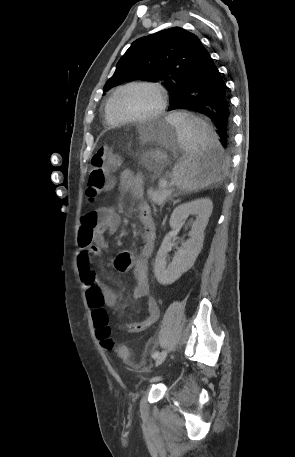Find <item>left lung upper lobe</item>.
Returning <instances> with one entry per match:
<instances>
[{
	"instance_id": "1",
	"label": "left lung upper lobe",
	"mask_w": 295,
	"mask_h": 457,
	"mask_svg": "<svg viewBox=\"0 0 295 457\" xmlns=\"http://www.w3.org/2000/svg\"><path fill=\"white\" fill-rule=\"evenodd\" d=\"M202 46L195 34L180 27L139 38L120 58L103 90L125 81L158 82L168 90L173 101L183 88L186 71Z\"/></svg>"
}]
</instances>
